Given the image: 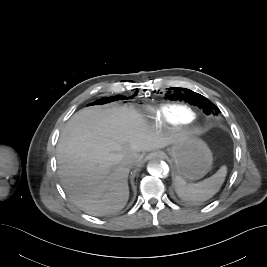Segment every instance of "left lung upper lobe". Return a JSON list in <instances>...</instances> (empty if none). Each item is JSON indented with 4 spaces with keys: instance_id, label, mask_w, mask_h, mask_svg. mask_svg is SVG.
I'll use <instances>...</instances> for the list:
<instances>
[{
    "instance_id": "obj_1",
    "label": "left lung upper lobe",
    "mask_w": 267,
    "mask_h": 267,
    "mask_svg": "<svg viewBox=\"0 0 267 267\" xmlns=\"http://www.w3.org/2000/svg\"><path fill=\"white\" fill-rule=\"evenodd\" d=\"M164 98L168 102H174L179 105H184L189 108L199 107L209 115H218L219 109L204 96L195 93L189 89H182L180 87H168L164 91Z\"/></svg>"
}]
</instances>
